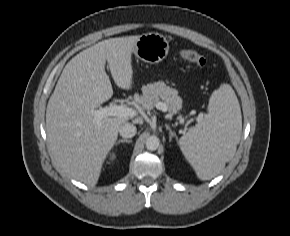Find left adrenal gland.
Wrapping results in <instances>:
<instances>
[{
    "label": "left adrenal gland",
    "mask_w": 290,
    "mask_h": 236,
    "mask_svg": "<svg viewBox=\"0 0 290 236\" xmlns=\"http://www.w3.org/2000/svg\"><path fill=\"white\" fill-rule=\"evenodd\" d=\"M165 127L170 132V139L169 140L171 141L173 137H175L177 139L176 133L170 128V126L166 124Z\"/></svg>",
    "instance_id": "left-adrenal-gland-1"
}]
</instances>
